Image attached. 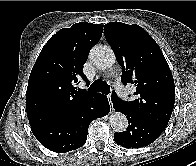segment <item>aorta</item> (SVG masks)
<instances>
[{
	"label": "aorta",
	"instance_id": "aorta-1",
	"mask_svg": "<svg viewBox=\"0 0 196 166\" xmlns=\"http://www.w3.org/2000/svg\"><path fill=\"white\" fill-rule=\"evenodd\" d=\"M90 58L93 64L102 69L110 68L116 61L114 51L109 46L97 45L92 48ZM109 123L115 132H123L128 126L126 116L121 112L111 114Z\"/></svg>",
	"mask_w": 196,
	"mask_h": 166
}]
</instances>
